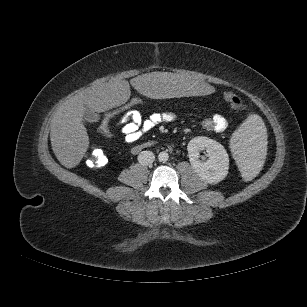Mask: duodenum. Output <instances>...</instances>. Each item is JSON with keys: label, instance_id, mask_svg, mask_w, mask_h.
<instances>
[{"label": "duodenum", "instance_id": "duodenum-1", "mask_svg": "<svg viewBox=\"0 0 307 307\" xmlns=\"http://www.w3.org/2000/svg\"><path fill=\"white\" fill-rule=\"evenodd\" d=\"M148 145H149L148 143L139 144V145H137L133 148V151L138 152V151L142 150L143 148L147 147Z\"/></svg>", "mask_w": 307, "mask_h": 307}]
</instances>
